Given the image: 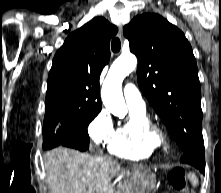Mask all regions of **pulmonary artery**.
Segmentation results:
<instances>
[{
	"instance_id": "obj_1",
	"label": "pulmonary artery",
	"mask_w": 221,
	"mask_h": 193,
	"mask_svg": "<svg viewBox=\"0 0 221 193\" xmlns=\"http://www.w3.org/2000/svg\"><path fill=\"white\" fill-rule=\"evenodd\" d=\"M128 107L136 111H145V102L139 90L132 84H127L123 90Z\"/></svg>"
}]
</instances>
